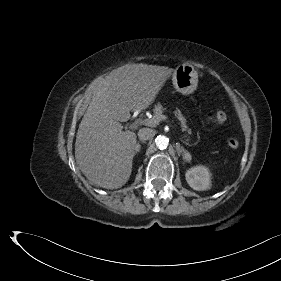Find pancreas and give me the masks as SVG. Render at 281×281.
I'll return each mask as SVG.
<instances>
[{"instance_id":"obj_1","label":"pancreas","mask_w":281,"mask_h":281,"mask_svg":"<svg viewBox=\"0 0 281 281\" xmlns=\"http://www.w3.org/2000/svg\"><path fill=\"white\" fill-rule=\"evenodd\" d=\"M164 111V108L161 104H157L155 105L154 109H153V112H154V116H153V120H157V121H162L161 120V115ZM175 115L176 117L178 118V120L180 121L181 123V129L182 131H187L188 134H191V129L188 128L187 124H186V119L184 118V116L182 115L181 111L180 110H177L175 111Z\"/></svg>"}]
</instances>
